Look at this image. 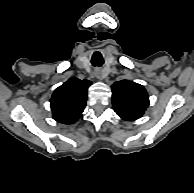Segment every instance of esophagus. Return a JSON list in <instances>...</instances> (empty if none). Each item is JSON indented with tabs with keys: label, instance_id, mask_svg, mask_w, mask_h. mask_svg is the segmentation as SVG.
<instances>
[{
	"label": "esophagus",
	"instance_id": "esophagus-1",
	"mask_svg": "<svg viewBox=\"0 0 194 193\" xmlns=\"http://www.w3.org/2000/svg\"><path fill=\"white\" fill-rule=\"evenodd\" d=\"M95 76L97 79L101 80L104 78V76L102 75V72L101 71H96L95 72Z\"/></svg>",
	"mask_w": 194,
	"mask_h": 193
}]
</instances>
